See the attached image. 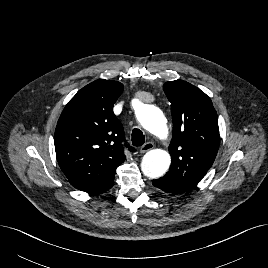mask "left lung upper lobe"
Listing matches in <instances>:
<instances>
[{"instance_id": "5c2ea615", "label": "left lung upper lobe", "mask_w": 268, "mask_h": 268, "mask_svg": "<svg viewBox=\"0 0 268 268\" xmlns=\"http://www.w3.org/2000/svg\"><path fill=\"white\" fill-rule=\"evenodd\" d=\"M164 92L171 102L173 120L172 165L152 184L181 194L193 189L214 162L220 141L218 118L210 98L188 82H166Z\"/></svg>"}]
</instances>
